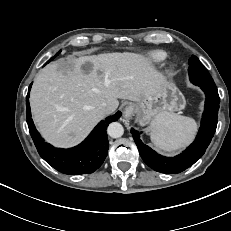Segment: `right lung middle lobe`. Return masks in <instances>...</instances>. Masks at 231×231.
<instances>
[{"mask_svg": "<svg viewBox=\"0 0 231 231\" xmlns=\"http://www.w3.org/2000/svg\"><path fill=\"white\" fill-rule=\"evenodd\" d=\"M61 51H59L54 57H52L47 63H49L50 61H52L57 55H59Z\"/></svg>", "mask_w": 231, "mask_h": 231, "instance_id": "obj_1", "label": "right lung middle lobe"}]
</instances>
